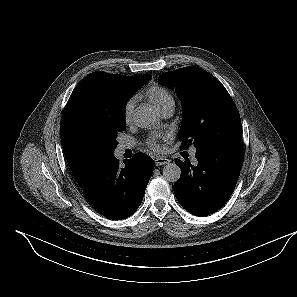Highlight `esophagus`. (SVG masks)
<instances>
[{"label":"esophagus","instance_id":"1","mask_svg":"<svg viewBox=\"0 0 297 297\" xmlns=\"http://www.w3.org/2000/svg\"><path fill=\"white\" fill-rule=\"evenodd\" d=\"M170 160L168 158H164V157H158L155 159V165L156 166H161V165H165L167 163H169Z\"/></svg>","mask_w":297,"mask_h":297}]
</instances>
